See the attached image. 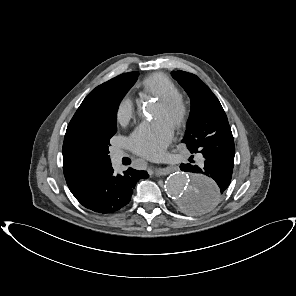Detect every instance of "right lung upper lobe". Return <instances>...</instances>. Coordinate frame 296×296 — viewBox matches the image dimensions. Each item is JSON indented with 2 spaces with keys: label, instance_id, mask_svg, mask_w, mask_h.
<instances>
[{
  "label": "right lung upper lobe",
  "instance_id": "obj_1",
  "mask_svg": "<svg viewBox=\"0 0 296 296\" xmlns=\"http://www.w3.org/2000/svg\"><path fill=\"white\" fill-rule=\"evenodd\" d=\"M130 73L121 74L92 90L71 119L63 143V171L72 193L102 170L112 166L99 142L90 135L88 116L92 108L108 94L110 88Z\"/></svg>",
  "mask_w": 296,
  "mask_h": 296
}]
</instances>
